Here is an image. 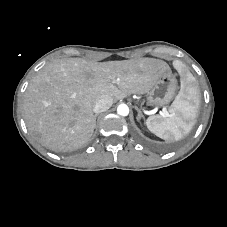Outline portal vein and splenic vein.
I'll use <instances>...</instances> for the list:
<instances>
[{
  "label": "portal vein and splenic vein",
  "mask_w": 227,
  "mask_h": 227,
  "mask_svg": "<svg viewBox=\"0 0 227 227\" xmlns=\"http://www.w3.org/2000/svg\"><path fill=\"white\" fill-rule=\"evenodd\" d=\"M163 116H164V117H167V116H168V112H167L166 109H163Z\"/></svg>",
  "instance_id": "1"
}]
</instances>
